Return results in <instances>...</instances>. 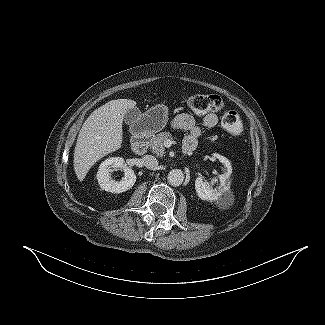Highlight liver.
Here are the masks:
<instances>
[{
	"label": "liver",
	"mask_w": 325,
	"mask_h": 325,
	"mask_svg": "<svg viewBox=\"0 0 325 325\" xmlns=\"http://www.w3.org/2000/svg\"><path fill=\"white\" fill-rule=\"evenodd\" d=\"M134 100L117 99L95 109L84 122L74 150V170L83 181L90 168L105 155L121 148L122 124Z\"/></svg>",
	"instance_id": "obj_1"
}]
</instances>
